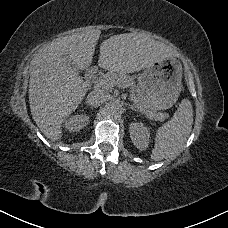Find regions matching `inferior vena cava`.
<instances>
[{"label": "inferior vena cava", "mask_w": 228, "mask_h": 228, "mask_svg": "<svg viewBox=\"0 0 228 228\" xmlns=\"http://www.w3.org/2000/svg\"><path fill=\"white\" fill-rule=\"evenodd\" d=\"M110 95L104 90H94L87 95L86 103L93 107H98L108 101Z\"/></svg>", "instance_id": "1"}]
</instances>
